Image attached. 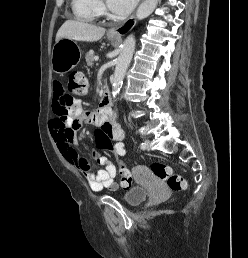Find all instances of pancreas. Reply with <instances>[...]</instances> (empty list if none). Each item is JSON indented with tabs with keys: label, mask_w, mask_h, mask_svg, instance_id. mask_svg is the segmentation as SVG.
I'll return each instance as SVG.
<instances>
[{
	"label": "pancreas",
	"mask_w": 248,
	"mask_h": 258,
	"mask_svg": "<svg viewBox=\"0 0 248 258\" xmlns=\"http://www.w3.org/2000/svg\"><path fill=\"white\" fill-rule=\"evenodd\" d=\"M86 63L88 66H93L94 64V51L90 50L89 52L86 53L85 56Z\"/></svg>",
	"instance_id": "pancreas-1"
}]
</instances>
